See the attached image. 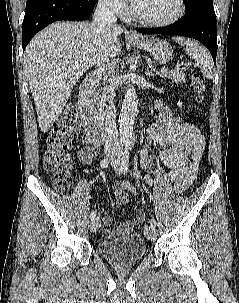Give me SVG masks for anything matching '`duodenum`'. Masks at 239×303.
Listing matches in <instances>:
<instances>
[{"label":"duodenum","instance_id":"1","mask_svg":"<svg viewBox=\"0 0 239 303\" xmlns=\"http://www.w3.org/2000/svg\"><path fill=\"white\" fill-rule=\"evenodd\" d=\"M99 80L97 73L89 74L79 89L78 105L83 127L93 136L101 138L107 131L106 116L94 106L93 91Z\"/></svg>","mask_w":239,"mask_h":303}]
</instances>
